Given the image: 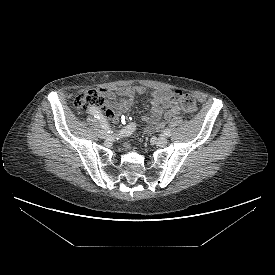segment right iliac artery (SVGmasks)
Wrapping results in <instances>:
<instances>
[{
    "label": "right iliac artery",
    "instance_id": "1",
    "mask_svg": "<svg viewBox=\"0 0 275 275\" xmlns=\"http://www.w3.org/2000/svg\"><path fill=\"white\" fill-rule=\"evenodd\" d=\"M89 112H90V114L94 115L95 118H97L99 120L100 126L102 129H104L107 133L111 132L108 122L106 121L103 114L99 110L91 107V108H89ZM135 127H136L135 123H131V124L127 125L126 127H124L123 129H121L117 135L120 137L130 136L134 132ZM111 133H113V131Z\"/></svg>",
    "mask_w": 275,
    "mask_h": 275
}]
</instances>
